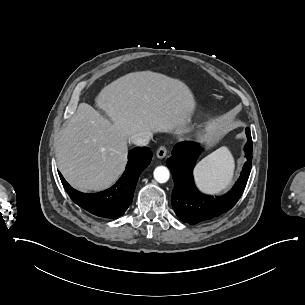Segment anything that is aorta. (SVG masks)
Segmentation results:
<instances>
[{
	"label": "aorta",
	"instance_id": "aorta-1",
	"mask_svg": "<svg viewBox=\"0 0 305 305\" xmlns=\"http://www.w3.org/2000/svg\"><path fill=\"white\" fill-rule=\"evenodd\" d=\"M170 173L165 166H158L154 170V178L159 183H165L169 180Z\"/></svg>",
	"mask_w": 305,
	"mask_h": 305
}]
</instances>
